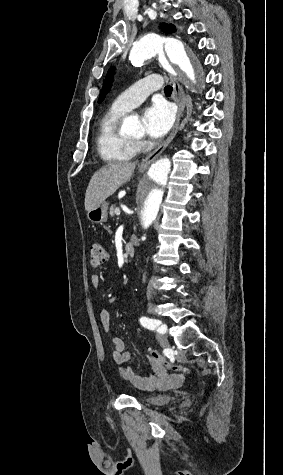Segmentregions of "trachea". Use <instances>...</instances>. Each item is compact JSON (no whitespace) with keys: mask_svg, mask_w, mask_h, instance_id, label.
I'll list each match as a JSON object with an SVG mask.
<instances>
[{"mask_svg":"<svg viewBox=\"0 0 283 475\" xmlns=\"http://www.w3.org/2000/svg\"><path fill=\"white\" fill-rule=\"evenodd\" d=\"M164 92H165V94H171L172 93V87H170V86L165 87Z\"/></svg>","mask_w":283,"mask_h":475,"instance_id":"1","label":"trachea"}]
</instances>
